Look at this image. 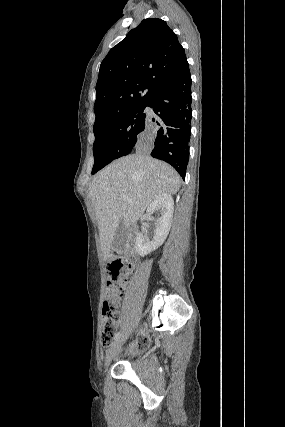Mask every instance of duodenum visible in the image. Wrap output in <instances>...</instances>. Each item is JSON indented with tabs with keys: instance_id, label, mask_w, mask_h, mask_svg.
<instances>
[{
	"instance_id": "410a0bca",
	"label": "duodenum",
	"mask_w": 285,
	"mask_h": 427,
	"mask_svg": "<svg viewBox=\"0 0 285 427\" xmlns=\"http://www.w3.org/2000/svg\"><path fill=\"white\" fill-rule=\"evenodd\" d=\"M123 254H124L125 256H127V255L129 254V251L124 252Z\"/></svg>"
}]
</instances>
